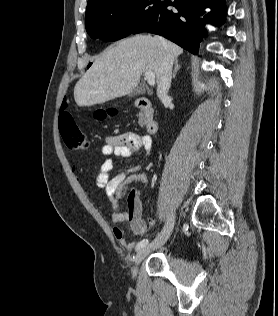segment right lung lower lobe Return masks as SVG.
I'll return each mask as SVG.
<instances>
[{
	"label": "right lung lower lobe",
	"instance_id": "right-lung-lower-lobe-1",
	"mask_svg": "<svg viewBox=\"0 0 278 316\" xmlns=\"http://www.w3.org/2000/svg\"><path fill=\"white\" fill-rule=\"evenodd\" d=\"M175 7L178 12H173ZM212 11L206 15L204 9ZM225 6L223 0H175L161 1L152 17L133 33L151 32L161 35L193 54L198 53L199 42L205 37L207 20L214 25L223 23Z\"/></svg>",
	"mask_w": 278,
	"mask_h": 316
}]
</instances>
